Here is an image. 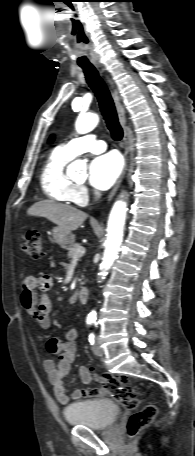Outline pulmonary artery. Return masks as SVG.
<instances>
[{
    "instance_id": "obj_1",
    "label": "pulmonary artery",
    "mask_w": 195,
    "mask_h": 456,
    "mask_svg": "<svg viewBox=\"0 0 195 456\" xmlns=\"http://www.w3.org/2000/svg\"><path fill=\"white\" fill-rule=\"evenodd\" d=\"M59 148L66 155L74 158L85 152L101 153L106 149V144L104 141L97 139L94 135L89 134L74 138Z\"/></svg>"
}]
</instances>
